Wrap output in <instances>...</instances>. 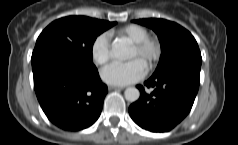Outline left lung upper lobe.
<instances>
[{"mask_svg": "<svg viewBox=\"0 0 238 145\" xmlns=\"http://www.w3.org/2000/svg\"><path fill=\"white\" fill-rule=\"evenodd\" d=\"M133 22L153 29L159 37L162 53L154 75L185 65H201L202 57L198 44L192 34L182 26L155 18L133 20Z\"/></svg>", "mask_w": 238, "mask_h": 145, "instance_id": "obj_1", "label": "left lung upper lobe"}]
</instances>
